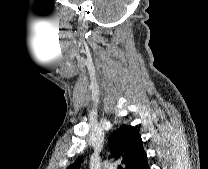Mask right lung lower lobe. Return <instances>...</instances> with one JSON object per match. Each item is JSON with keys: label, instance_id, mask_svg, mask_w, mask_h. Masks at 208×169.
Returning a JSON list of instances; mask_svg holds the SVG:
<instances>
[{"label": "right lung lower lobe", "instance_id": "1", "mask_svg": "<svg viewBox=\"0 0 208 169\" xmlns=\"http://www.w3.org/2000/svg\"><path fill=\"white\" fill-rule=\"evenodd\" d=\"M137 169H150L147 158L141 163V165Z\"/></svg>", "mask_w": 208, "mask_h": 169}]
</instances>
